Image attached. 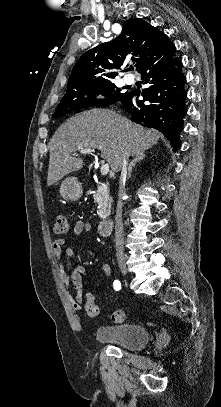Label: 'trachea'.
I'll use <instances>...</instances> for the list:
<instances>
[{"instance_id":"trachea-1","label":"trachea","mask_w":221,"mask_h":407,"mask_svg":"<svg viewBox=\"0 0 221 407\" xmlns=\"http://www.w3.org/2000/svg\"><path fill=\"white\" fill-rule=\"evenodd\" d=\"M130 70L133 71V70H134V67H130Z\"/></svg>"}]
</instances>
